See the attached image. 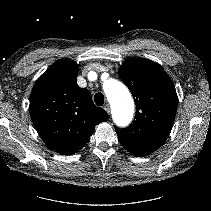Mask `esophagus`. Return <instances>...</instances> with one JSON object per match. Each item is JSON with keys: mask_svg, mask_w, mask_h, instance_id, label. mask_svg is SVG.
<instances>
[{"mask_svg": "<svg viewBox=\"0 0 211 211\" xmlns=\"http://www.w3.org/2000/svg\"><path fill=\"white\" fill-rule=\"evenodd\" d=\"M104 110L109 114L110 113V106H109V104H106L105 106H104Z\"/></svg>", "mask_w": 211, "mask_h": 211, "instance_id": "34e87169", "label": "esophagus"}]
</instances>
